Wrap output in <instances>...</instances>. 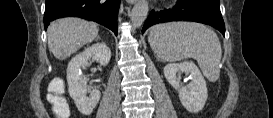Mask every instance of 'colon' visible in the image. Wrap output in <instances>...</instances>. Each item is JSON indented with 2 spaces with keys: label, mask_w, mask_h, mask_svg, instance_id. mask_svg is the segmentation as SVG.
Returning <instances> with one entry per match:
<instances>
[{
  "label": "colon",
  "mask_w": 273,
  "mask_h": 118,
  "mask_svg": "<svg viewBox=\"0 0 273 118\" xmlns=\"http://www.w3.org/2000/svg\"><path fill=\"white\" fill-rule=\"evenodd\" d=\"M48 101L59 117L66 118L69 116V106L66 99L61 94V84L59 82H53L50 85Z\"/></svg>",
  "instance_id": "colon-1"
}]
</instances>
